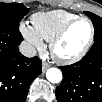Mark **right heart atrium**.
Masks as SVG:
<instances>
[{
  "label": "right heart atrium",
  "mask_w": 102,
  "mask_h": 102,
  "mask_svg": "<svg viewBox=\"0 0 102 102\" xmlns=\"http://www.w3.org/2000/svg\"><path fill=\"white\" fill-rule=\"evenodd\" d=\"M21 32L32 47L40 52L45 49L44 40L34 31L31 26L27 24H22Z\"/></svg>",
  "instance_id": "1"
}]
</instances>
